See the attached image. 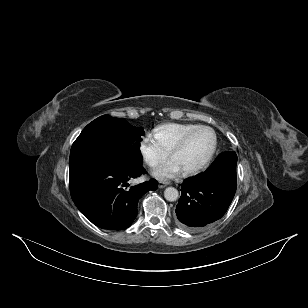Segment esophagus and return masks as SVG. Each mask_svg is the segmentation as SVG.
<instances>
[{"mask_svg": "<svg viewBox=\"0 0 308 308\" xmlns=\"http://www.w3.org/2000/svg\"><path fill=\"white\" fill-rule=\"evenodd\" d=\"M168 185H169V182H167V181H159V183H158L159 188H164Z\"/></svg>", "mask_w": 308, "mask_h": 308, "instance_id": "esophagus-1", "label": "esophagus"}]
</instances>
